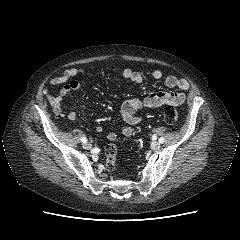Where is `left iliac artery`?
I'll return each instance as SVG.
<instances>
[{
	"mask_svg": "<svg viewBox=\"0 0 240 240\" xmlns=\"http://www.w3.org/2000/svg\"><path fill=\"white\" fill-rule=\"evenodd\" d=\"M164 141H165V140H164L163 137L159 138V142H160V143H163Z\"/></svg>",
	"mask_w": 240,
	"mask_h": 240,
	"instance_id": "44dca946",
	"label": "left iliac artery"
}]
</instances>
